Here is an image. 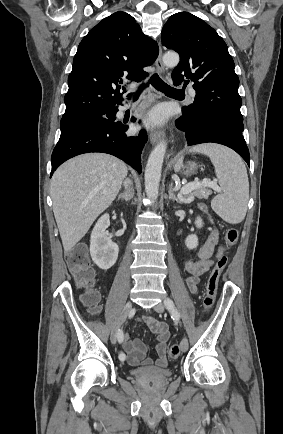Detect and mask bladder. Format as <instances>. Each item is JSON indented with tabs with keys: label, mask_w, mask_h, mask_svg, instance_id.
<instances>
[{
	"label": "bladder",
	"mask_w": 283,
	"mask_h": 434,
	"mask_svg": "<svg viewBox=\"0 0 283 434\" xmlns=\"http://www.w3.org/2000/svg\"><path fill=\"white\" fill-rule=\"evenodd\" d=\"M131 374L142 379H167L172 375V372L163 368L138 367L132 369Z\"/></svg>",
	"instance_id": "31cf9c89"
}]
</instances>
